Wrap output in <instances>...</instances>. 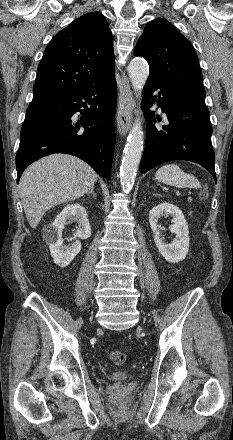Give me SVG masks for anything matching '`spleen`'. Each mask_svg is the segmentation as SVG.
Here are the masks:
<instances>
[{"label": "spleen", "mask_w": 233, "mask_h": 440, "mask_svg": "<svg viewBox=\"0 0 233 440\" xmlns=\"http://www.w3.org/2000/svg\"><path fill=\"white\" fill-rule=\"evenodd\" d=\"M155 177L161 183L178 188H200L198 179L189 173H185L176 164H166L160 167Z\"/></svg>", "instance_id": "spleen-1"}]
</instances>
